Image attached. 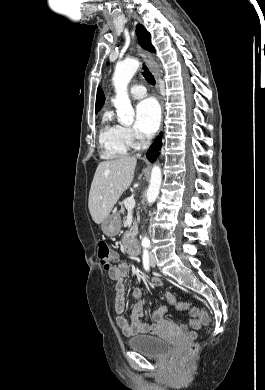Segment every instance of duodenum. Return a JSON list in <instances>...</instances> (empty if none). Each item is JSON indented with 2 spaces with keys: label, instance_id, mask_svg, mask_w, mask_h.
I'll return each mask as SVG.
<instances>
[{
  "label": "duodenum",
  "instance_id": "duodenum-1",
  "mask_svg": "<svg viewBox=\"0 0 265 390\" xmlns=\"http://www.w3.org/2000/svg\"><path fill=\"white\" fill-rule=\"evenodd\" d=\"M127 250L133 255H139L141 248L139 243L133 239L127 244Z\"/></svg>",
  "mask_w": 265,
  "mask_h": 390
}]
</instances>
